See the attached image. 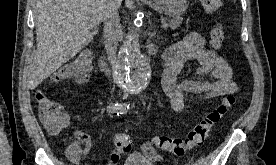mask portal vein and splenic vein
<instances>
[{"mask_svg":"<svg viewBox=\"0 0 276 165\" xmlns=\"http://www.w3.org/2000/svg\"><path fill=\"white\" fill-rule=\"evenodd\" d=\"M162 28H167L168 27V24L166 22H162Z\"/></svg>","mask_w":276,"mask_h":165,"instance_id":"1","label":"portal vein and splenic vein"}]
</instances>
